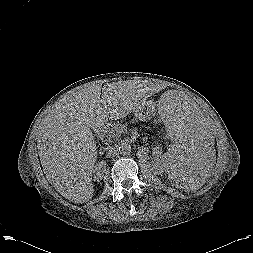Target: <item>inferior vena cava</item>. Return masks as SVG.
Here are the masks:
<instances>
[{
  "label": "inferior vena cava",
  "instance_id": "inferior-vena-cava-1",
  "mask_svg": "<svg viewBox=\"0 0 253 253\" xmlns=\"http://www.w3.org/2000/svg\"><path fill=\"white\" fill-rule=\"evenodd\" d=\"M109 154L112 156H116L118 154V144H115L113 146H109Z\"/></svg>",
  "mask_w": 253,
  "mask_h": 253
}]
</instances>
